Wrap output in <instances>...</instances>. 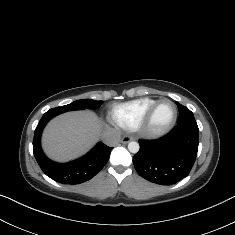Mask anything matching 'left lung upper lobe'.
Here are the masks:
<instances>
[{
	"label": "left lung upper lobe",
	"mask_w": 235,
	"mask_h": 235,
	"mask_svg": "<svg viewBox=\"0 0 235 235\" xmlns=\"http://www.w3.org/2000/svg\"><path fill=\"white\" fill-rule=\"evenodd\" d=\"M179 109V119L177 126H189L198 128L196 120L193 116V113L185 106L177 103Z\"/></svg>",
	"instance_id": "obj_1"
}]
</instances>
